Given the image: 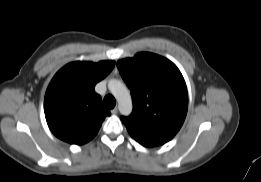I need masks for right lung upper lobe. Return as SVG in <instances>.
<instances>
[{
    "label": "right lung upper lobe",
    "instance_id": "cb5924a9",
    "mask_svg": "<svg viewBox=\"0 0 261 182\" xmlns=\"http://www.w3.org/2000/svg\"><path fill=\"white\" fill-rule=\"evenodd\" d=\"M114 65V61H75L55 74L46 90L44 111L56 137L77 145L95 137L105 117L110 115L95 92V85Z\"/></svg>",
    "mask_w": 261,
    "mask_h": 182
}]
</instances>
